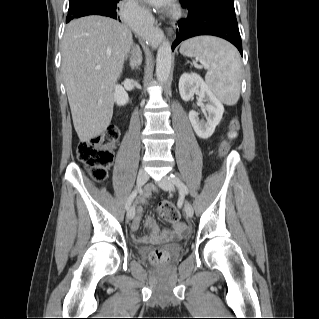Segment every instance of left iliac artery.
Masks as SVG:
<instances>
[{"mask_svg":"<svg viewBox=\"0 0 319 319\" xmlns=\"http://www.w3.org/2000/svg\"><path fill=\"white\" fill-rule=\"evenodd\" d=\"M170 179L173 182V184H175L179 191L183 194H188V188L186 187V185L180 180V178L176 175L171 174L170 175Z\"/></svg>","mask_w":319,"mask_h":319,"instance_id":"obj_1","label":"left iliac artery"}]
</instances>
